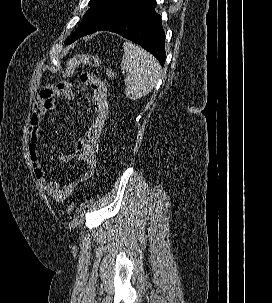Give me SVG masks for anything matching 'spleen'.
Returning <instances> with one entry per match:
<instances>
[{
	"mask_svg": "<svg viewBox=\"0 0 272 303\" xmlns=\"http://www.w3.org/2000/svg\"><path fill=\"white\" fill-rule=\"evenodd\" d=\"M123 49L121 67L127 72L126 96L138 100L154 89L161 77V66L152 54L131 42H124Z\"/></svg>",
	"mask_w": 272,
	"mask_h": 303,
	"instance_id": "3e777b00",
	"label": "spleen"
}]
</instances>
